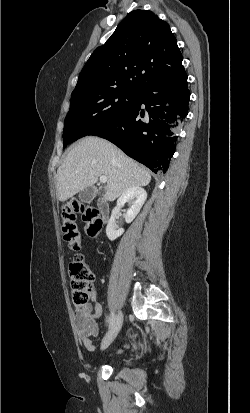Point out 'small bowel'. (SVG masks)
Segmentation results:
<instances>
[{
  "instance_id": "c3829d8e",
  "label": "small bowel",
  "mask_w": 250,
  "mask_h": 413,
  "mask_svg": "<svg viewBox=\"0 0 250 413\" xmlns=\"http://www.w3.org/2000/svg\"><path fill=\"white\" fill-rule=\"evenodd\" d=\"M96 289L91 290L92 304L89 303L84 308L75 311V324L80 340L89 352H93L95 347L92 337L97 336L99 328L96 319L102 314V306L96 301Z\"/></svg>"
}]
</instances>
